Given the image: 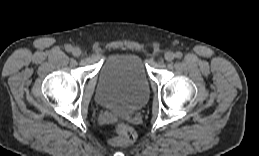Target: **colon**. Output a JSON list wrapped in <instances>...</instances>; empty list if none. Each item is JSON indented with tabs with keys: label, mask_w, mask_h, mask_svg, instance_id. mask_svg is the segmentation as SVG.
<instances>
[{
	"label": "colon",
	"mask_w": 259,
	"mask_h": 156,
	"mask_svg": "<svg viewBox=\"0 0 259 156\" xmlns=\"http://www.w3.org/2000/svg\"><path fill=\"white\" fill-rule=\"evenodd\" d=\"M135 139V130L125 123H120L116 127V136L111 140V143L114 146H126L133 143Z\"/></svg>",
	"instance_id": "colon-1"
}]
</instances>
